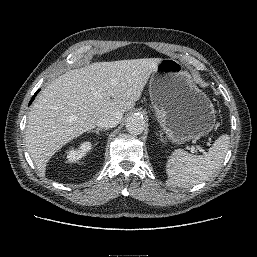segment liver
Returning a JSON list of instances; mask_svg holds the SVG:
<instances>
[{"label":"liver","mask_w":257,"mask_h":257,"mask_svg":"<svg viewBox=\"0 0 257 257\" xmlns=\"http://www.w3.org/2000/svg\"><path fill=\"white\" fill-rule=\"evenodd\" d=\"M160 58L96 62L66 72L37 97L28 116L26 145L42 175L66 143L90 131L105 112L132 109Z\"/></svg>","instance_id":"6515ba94"}]
</instances>
